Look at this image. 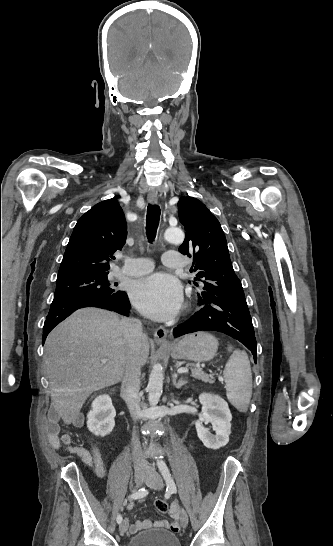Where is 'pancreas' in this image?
<instances>
[{"mask_svg":"<svg viewBox=\"0 0 333 546\" xmlns=\"http://www.w3.org/2000/svg\"><path fill=\"white\" fill-rule=\"evenodd\" d=\"M190 366L191 369V376L193 378H196L198 380H201L203 382L213 383V380L207 375L205 372H203L201 369L193 366V365H187V367Z\"/></svg>","mask_w":333,"mask_h":546,"instance_id":"obj_1","label":"pancreas"}]
</instances>
